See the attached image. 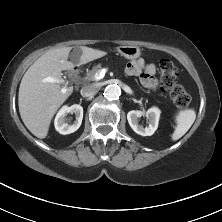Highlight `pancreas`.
Returning <instances> with one entry per match:
<instances>
[{
  "mask_svg": "<svg viewBox=\"0 0 222 222\" xmlns=\"http://www.w3.org/2000/svg\"><path fill=\"white\" fill-rule=\"evenodd\" d=\"M101 70V65L94 66L92 70L86 73L85 80L86 81H95V74Z\"/></svg>",
  "mask_w": 222,
  "mask_h": 222,
  "instance_id": "cf45deb5",
  "label": "pancreas"
}]
</instances>
